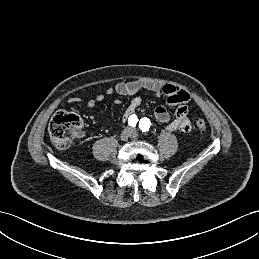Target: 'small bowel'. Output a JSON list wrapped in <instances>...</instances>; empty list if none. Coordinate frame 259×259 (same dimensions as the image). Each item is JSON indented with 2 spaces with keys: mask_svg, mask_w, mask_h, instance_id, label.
Listing matches in <instances>:
<instances>
[{
  "mask_svg": "<svg viewBox=\"0 0 259 259\" xmlns=\"http://www.w3.org/2000/svg\"><path fill=\"white\" fill-rule=\"evenodd\" d=\"M142 90L150 91L157 96L164 95L166 104L159 105L154 110V116L160 123L166 124V129L170 132H190L192 125L188 118L187 103L190 100V95L187 91L180 89L172 84H161L150 80L137 79L128 82H119L114 87H110L106 91V95L118 94L121 96H131L129 106L124 112V120L135 113L142 102V98L138 93ZM105 95L99 94L91 98L87 102L88 108H94L98 103L104 100ZM81 101L79 97H73L69 100L70 103H78ZM168 106L176 107V117L171 120ZM80 136H83L81 133Z\"/></svg>",
  "mask_w": 259,
  "mask_h": 259,
  "instance_id": "c3829d8e",
  "label": "small bowel"
}]
</instances>
